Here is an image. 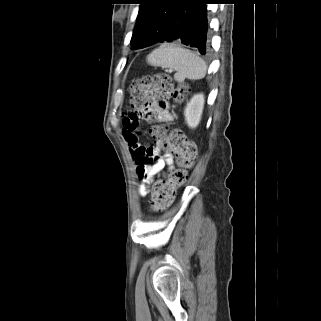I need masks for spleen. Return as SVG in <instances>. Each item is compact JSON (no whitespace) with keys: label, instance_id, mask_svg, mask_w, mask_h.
<instances>
[{"label":"spleen","instance_id":"obj_1","mask_svg":"<svg viewBox=\"0 0 321 321\" xmlns=\"http://www.w3.org/2000/svg\"><path fill=\"white\" fill-rule=\"evenodd\" d=\"M151 66L177 71V80L202 79L207 73L205 61L198 55L176 43H163L146 58Z\"/></svg>","mask_w":321,"mask_h":321}]
</instances>
